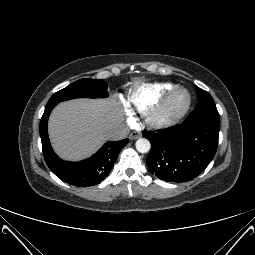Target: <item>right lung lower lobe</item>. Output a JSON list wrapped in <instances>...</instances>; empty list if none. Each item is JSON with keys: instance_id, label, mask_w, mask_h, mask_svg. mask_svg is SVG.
I'll return each instance as SVG.
<instances>
[{"instance_id": "right-lung-lower-lobe-1", "label": "right lung lower lobe", "mask_w": 255, "mask_h": 255, "mask_svg": "<svg viewBox=\"0 0 255 255\" xmlns=\"http://www.w3.org/2000/svg\"><path fill=\"white\" fill-rule=\"evenodd\" d=\"M54 104L46 105L40 122V136L45 161L50 170L64 182L79 186H93L103 181L111 171L119 152L128 143V139L107 142L96 154L81 162L61 160L52 150L47 121Z\"/></svg>"}]
</instances>
